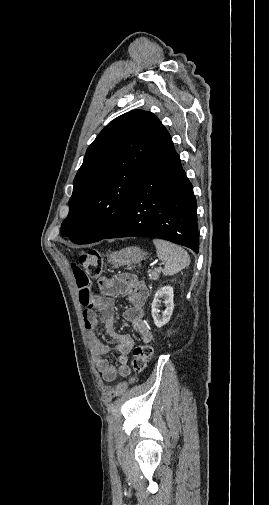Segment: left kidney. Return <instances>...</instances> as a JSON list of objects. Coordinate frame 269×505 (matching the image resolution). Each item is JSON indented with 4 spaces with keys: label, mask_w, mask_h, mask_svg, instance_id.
<instances>
[{
    "label": "left kidney",
    "mask_w": 269,
    "mask_h": 505,
    "mask_svg": "<svg viewBox=\"0 0 269 505\" xmlns=\"http://www.w3.org/2000/svg\"><path fill=\"white\" fill-rule=\"evenodd\" d=\"M174 291L171 286L161 287L154 295L153 302L151 304V313L154 320L155 325L158 328H161L165 324H167L171 318L174 309ZM163 299L164 301H161ZM161 302L164 303L165 309L163 311L160 310ZM161 313V314H160Z\"/></svg>",
    "instance_id": "5707ae66"
}]
</instances>
